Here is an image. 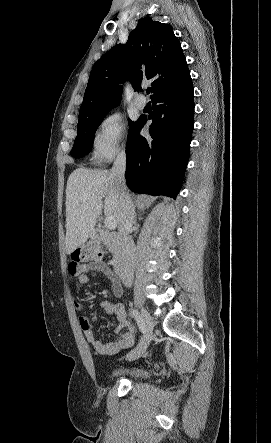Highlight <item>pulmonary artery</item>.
Masks as SVG:
<instances>
[{
	"label": "pulmonary artery",
	"instance_id": "obj_1",
	"mask_svg": "<svg viewBox=\"0 0 271 443\" xmlns=\"http://www.w3.org/2000/svg\"><path fill=\"white\" fill-rule=\"evenodd\" d=\"M147 103L148 101L142 93L137 94L134 98V105L139 110H143L147 106Z\"/></svg>",
	"mask_w": 271,
	"mask_h": 443
}]
</instances>
